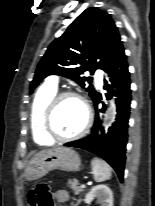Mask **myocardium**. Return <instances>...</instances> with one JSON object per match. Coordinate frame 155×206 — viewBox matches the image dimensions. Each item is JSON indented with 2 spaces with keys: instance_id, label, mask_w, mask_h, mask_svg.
Returning a JSON list of instances; mask_svg holds the SVG:
<instances>
[{
  "instance_id": "obj_1",
  "label": "myocardium",
  "mask_w": 155,
  "mask_h": 206,
  "mask_svg": "<svg viewBox=\"0 0 155 206\" xmlns=\"http://www.w3.org/2000/svg\"><path fill=\"white\" fill-rule=\"evenodd\" d=\"M68 97L75 98L82 103L84 110H85L86 117H85V122H84L83 127L78 132L72 135H68V136H61V135H58L56 131L54 130L53 125H52V119H53L54 111L58 103L62 99L68 98ZM92 120H93V114H92L91 107L89 103L87 102V100L82 95L74 91H61V92L56 93L52 97V99L49 101L48 105L45 108V111L43 114V128H44V132L46 133V135L52 140L65 142V141L78 139L84 136L89 131L92 125Z\"/></svg>"
}]
</instances>
